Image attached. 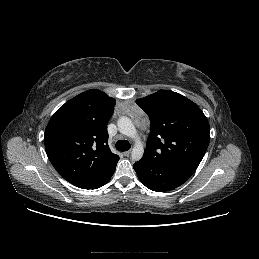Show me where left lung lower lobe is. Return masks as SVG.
<instances>
[{
  "instance_id": "obj_1",
  "label": "left lung lower lobe",
  "mask_w": 259,
  "mask_h": 259,
  "mask_svg": "<svg viewBox=\"0 0 259 259\" xmlns=\"http://www.w3.org/2000/svg\"><path fill=\"white\" fill-rule=\"evenodd\" d=\"M142 184L157 192L169 191L186 182L193 172L143 157L133 165Z\"/></svg>"
}]
</instances>
